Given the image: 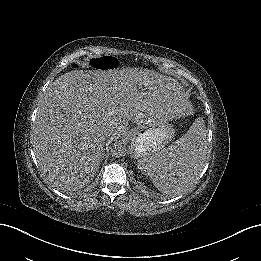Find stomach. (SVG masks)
I'll list each match as a JSON object with an SVG mask.
<instances>
[{
  "label": "stomach",
  "mask_w": 261,
  "mask_h": 261,
  "mask_svg": "<svg viewBox=\"0 0 261 261\" xmlns=\"http://www.w3.org/2000/svg\"><path fill=\"white\" fill-rule=\"evenodd\" d=\"M130 135V153L136 159L156 154L170 137L166 122L159 115L146 118L143 123L131 130Z\"/></svg>",
  "instance_id": "1"
}]
</instances>
